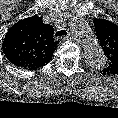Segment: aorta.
Segmentation results:
<instances>
[{
  "instance_id": "obj_1",
  "label": "aorta",
  "mask_w": 118,
  "mask_h": 118,
  "mask_svg": "<svg viewBox=\"0 0 118 118\" xmlns=\"http://www.w3.org/2000/svg\"><path fill=\"white\" fill-rule=\"evenodd\" d=\"M70 26L72 32L84 46L87 63L95 69L103 68L106 57L89 24L85 20L76 18L71 21Z\"/></svg>"
}]
</instances>
